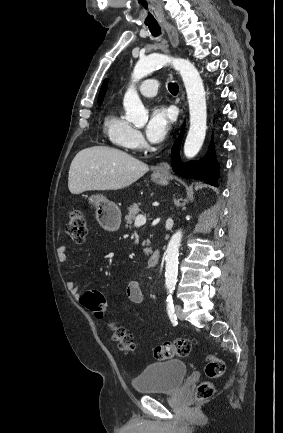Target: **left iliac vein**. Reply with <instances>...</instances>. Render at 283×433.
Here are the masks:
<instances>
[{
    "label": "left iliac vein",
    "instance_id": "obj_1",
    "mask_svg": "<svg viewBox=\"0 0 283 433\" xmlns=\"http://www.w3.org/2000/svg\"><path fill=\"white\" fill-rule=\"evenodd\" d=\"M175 314L181 320L184 318L181 305L179 304L175 305Z\"/></svg>",
    "mask_w": 283,
    "mask_h": 433
}]
</instances>
